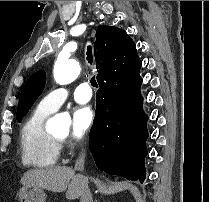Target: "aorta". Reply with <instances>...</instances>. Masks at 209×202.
Instances as JSON below:
<instances>
[{
    "label": "aorta",
    "instance_id": "1",
    "mask_svg": "<svg viewBox=\"0 0 209 202\" xmlns=\"http://www.w3.org/2000/svg\"><path fill=\"white\" fill-rule=\"evenodd\" d=\"M80 74V65L74 59L59 55L53 69L54 80L59 85L73 82ZM71 119L67 114H56L46 123V130L49 132H68Z\"/></svg>",
    "mask_w": 209,
    "mask_h": 202
}]
</instances>
